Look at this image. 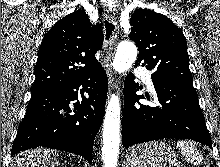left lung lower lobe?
I'll use <instances>...</instances> for the list:
<instances>
[{
	"label": "left lung lower lobe",
	"instance_id": "1",
	"mask_svg": "<svg viewBox=\"0 0 220 167\" xmlns=\"http://www.w3.org/2000/svg\"><path fill=\"white\" fill-rule=\"evenodd\" d=\"M133 79L134 75L129 73L124 86V147L163 138H187L212 148L193 85L152 80L160 106L150 107L138 101L144 96L136 95L138 83Z\"/></svg>",
	"mask_w": 220,
	"mask_h": 167
}]
</instances>
